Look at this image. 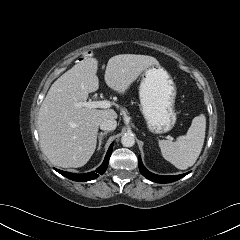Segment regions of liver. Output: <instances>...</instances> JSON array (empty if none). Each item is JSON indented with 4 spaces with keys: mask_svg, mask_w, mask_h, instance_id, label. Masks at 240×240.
<instances>
[{
    "mask_svg": "<svg viewBox=\"0 0 240 240\" xmlns=\"http://www.w3.org/2000/svg\"><path fill=\"white\" fill-rule=\"evenodd\" d=\"M158 64L147 55L113 56L107 63L105 82L112 90L124 93L143 71ZM97 70L96 58L80 61L52 84L41 104L37 120L40 146L53 165L84 166L95 151L100 123L117 118L112 109L75 106L98 90Z\"/></svg>",
    "mask_w": 240,
    "mask_h": 240,
    "instance_id": "liver-1",
    "label": "liver"
}]
</instances>
